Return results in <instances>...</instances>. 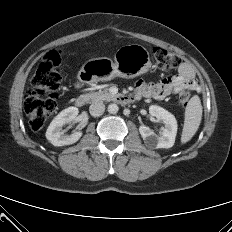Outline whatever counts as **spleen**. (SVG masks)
Instances as JSON below:
<instances>
[{"label":"spleen","instance_id":"1","mask_svg":"<svg viewBox=\"0 0 232 232\" xmlns=\"http://www.w3.org/2000/svg\"><path fill=\"white\" fill-rule=\"evenodd\" d=\"M202 119V105L200 98L195 95L187 103L185 109L184 126L181 135V143L185 144L197 132Z\"/></svg>","mask_w":232,"mask_h":232}]
</instances>
